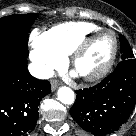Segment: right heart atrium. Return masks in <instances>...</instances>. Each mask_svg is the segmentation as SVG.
Segmentation results:
<instances>
[{"label": "right heart atrium", "instance_id": "1", "mask_svg": "<svg viewBox=\"0 0 136 136\" xmlns=\"http://www.w3.org/2000/svg\"><path fill=\"white\" fill-rule=\"evenodd\" d=\"M29 42L30 59L38 76H47L53 68L59 67L64 62V56L47 43L43 33L33 31Z\"/></svg>", "mask_w": 136, "mask_h": 136}]
</instances>
